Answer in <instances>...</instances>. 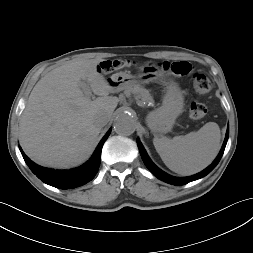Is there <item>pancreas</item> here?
Listing matches in <instances>:
<instances>
[{
  "label": "pancreas",
  "mask_w": 253,
  "mask_h": 253,
  "mask_svg": "<svg viewBox=\"0 0 253 253\" xmlns=\"http://www.w3.org/2000/svg\"><path fill=\"white\" fill-rule=\"evenodd\" d=\"M134 94L136 100H138L142 104H147L153 102V99L149 93V91L143 87L135 86L126 90V94Z\"/></svg>",
  "instance_id": "pancreas-1"
}]
</instances>
